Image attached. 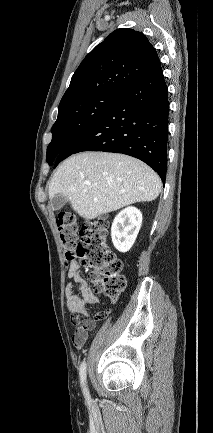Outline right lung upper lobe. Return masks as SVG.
<instances>
[{
  "label": "right lung upper lobe",
  "instance_id": "right-lung-upper-lobe-1",
  "mask_svg": "<svg viewBox=\"0 0 213 433\" xmlns=\"http://www.w3.org/2000/svg\"><path fill=\"white\" fill-rule=\"evenodd\" d=\"M158 61L156 50L143 33L117 29L81 62L59 107L98 93L123 94Z\"/></svg>",
  "mask_w": 213,
  "mask_h": 433
}]
</instances>
